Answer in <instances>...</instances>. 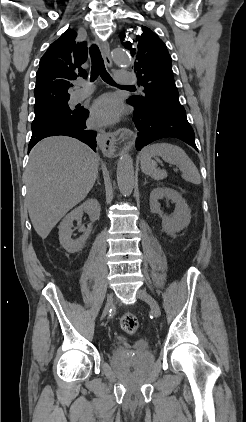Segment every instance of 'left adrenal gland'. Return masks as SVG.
<instances>
[{
  "instance_id": "obj_1",
  "label": "left adrenal gland",
  "mask_w": 246,
  "mask_h": 422,
  "mask_svg": "<svg viewBox=\"0 0 246 422\" xmlns=\"http://www.w3.org/2000/svg\"><path fill=\"white\" fill-rule=\"evenodd\" d=\"M146 184H147V180L145 179L144 185H146Z\"/></svg>"
}]
</instances>
